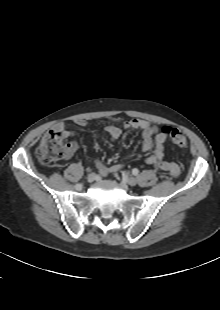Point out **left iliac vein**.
<instances>
[{
    "instance_id": "4c4485c4",
    "label": "left iliac vein",
    "mask_w": 220,
    "mask_h": 310,
    "mask_svg": "<svg viewBox=\"0 0 220 310\" xmlns=\"http://www.w3.org/2000/svg\"><path fill=\"white\" fill-rule=\"evenodd\" d=\"M127 183L130 185V186H135L137 184V179L130 176L127 178Z\"/></svg>"
}]
</instances>
